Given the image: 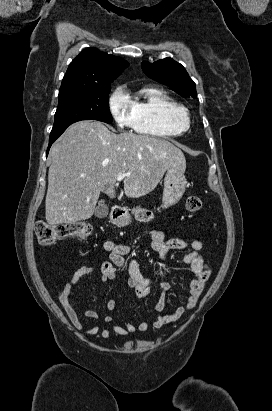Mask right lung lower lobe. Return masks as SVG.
Here are the masks:
<instances>
[{
  "mask_svg": "<svg viewBox=\"0 0 272 411\" xmlns=\"http://www.w3.org/2000/svg\"><path fill=\"white\" fill-rule=\"evenodd\" d=\"M58 138V137H57ZM57 138H53L49 140V146H48V150H47V154L49 152V148L51 147L52 143L57 139Z\"/></svg>",
  "mask_w": 272,
  "mask_h": 411,
  "instance_id": "1",
  "label": "right lung lower lobe"
}]
</instances>
